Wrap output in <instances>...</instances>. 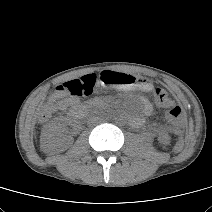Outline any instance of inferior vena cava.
<instances>
[{
	"mask_svg": "<svg viewBox=\"0 0 212 212\" xmlns=\"http://www.w3.org/2000/svg\"><path fill=\"white\" fill-rule=\"evenodd\" d=\"M100 118L99 117H96V116H91L88 118V124L89 125H94L96 123H99L100 122Z\"/></svg>",
	"mask_w": 212,
	"mask_h": 212,
	"instance_id": "1",
	"label": "inferior vena cava"
}]
</instances>
